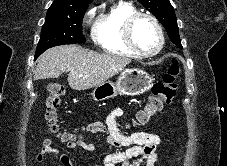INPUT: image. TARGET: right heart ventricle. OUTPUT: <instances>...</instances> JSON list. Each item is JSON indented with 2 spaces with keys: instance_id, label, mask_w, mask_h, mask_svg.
Segmentation results:
<instances>
[{
  "instance_id": "obj_1",
  "label": "right heart ventricle",
  "mask_w": 227,
  "mask_h": 166,
  "mask_svg": "<svg viewBox=\"0 0 227 166\" xmlns=\"http://www.w3.org/2000/svg\"><path fill=\"white\" fill-rule=\"evenodd\" d=\"M137 12L132 3L124 0L112 4L103 11L93 25V37L96 45L108 54L138 57L126 45L123 36L125 21Z\"/></svg>"
}]
</instances>
